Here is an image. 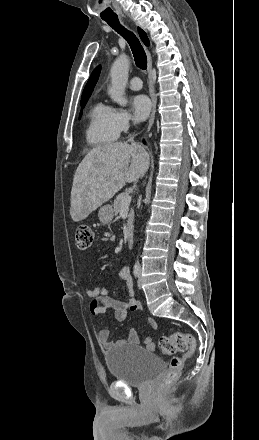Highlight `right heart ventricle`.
<instances>
[{
    "mask_svg": "<svg viewBox=\"0 0 259 440\" xmlns=\"http://www.w3.org/2000/svg\"><path fill=\"white\" fill-rule=\"evenodd\" d=\"M118 135L113 124V109L102 102L95 103L88 112L87 142L92 146H104L115 142Z\"/></svg>",
    "mask_w": 259,
    "mask_h": 440,
    "instance_id": "1",
    "label": "right heart ventricle"
}]
</instances>
